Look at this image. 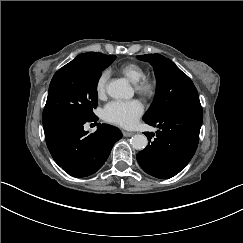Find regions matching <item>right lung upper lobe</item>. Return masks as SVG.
<instances>
[{"label": "right lung upper lobe", "instance_id": "right-lung-upper-lobe-1", "mask_svg": "<svg viewBox=\"0 0 243 243\" xmlns=\"http://www.w3.org/2000/svg\"><path fill=\"white\" fill-rule=\"evenodd\" d=\"M107 55H104L102 53H96V52H87L84 54L78 55L74 60L63 66L71 67V66H77V65H92L96 64L99 60L103 59Z\"/></svg>", "mask_w": 243, "mask_h": 243}]
</instances>
